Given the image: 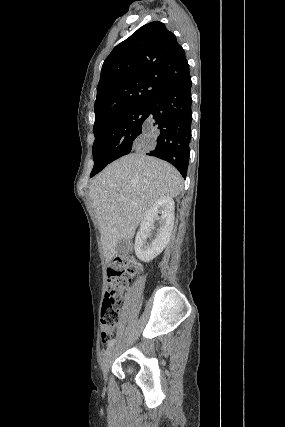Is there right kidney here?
<instances>
[{
	"label": "right kidney",
	"instance_id": "obj_1",
	"mask_svg": "<svg viewBox=\"0 0 285 427\" xmlns=\"http://www.w3.org/2000/svg\"><path fill=\"white\" fill-rule=\"evenodd\" d=\"M174 201L171 197L157 200L145 214L135 238V253L143 262H149L159 255L170 241L174 225ZM160 214V217L158 216ZM159 220L158 234L152 242H147L151 227Z\"/></svg>",
	"mask_w": 285,
	"mask_h": 427
}]
</instances>
